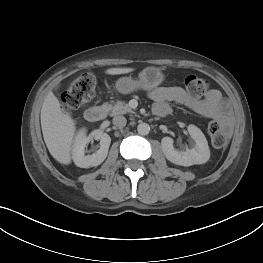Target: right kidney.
Masks as SVG:
<instances>
[{
	"mask_svg": "<svg viewBox=\"0 0 263 263\" xmlns=\"http://www.w3.org/2000/svg\"><path fill=\"white\" fill-rule=\"evenodd\" d=\"M99 139L100 149L92 155H85V147L90 140ZM111 143V138L108 134L100 130H93L88 136L85 128H82L77 133L72 149V158L76 166L81 168H89L100 165L108 154V149Z\"/></svg>",
	"mask_w": 263,
	"mask_h": 263,
	"instance_id": "obj_1",
	"label": "right kidney"
}]
</instances>
